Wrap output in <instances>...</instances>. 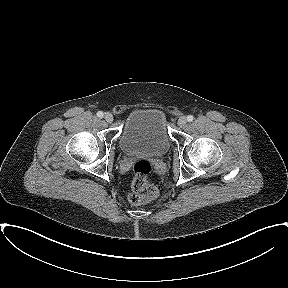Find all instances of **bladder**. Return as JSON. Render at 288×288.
<instances>
[{
	"label": "bladder",
	"instance_id": "bladder-1",
	"mask_svg": "<svg viewBox=\"0 0 288 288\" xmlns=\"http://www.w3.org/2000/svg\"><path fill=\"white\" fill-rule=\"evenodd\" d=\"M119 146L127 155H164L170 146L164 113L154 108L133 110L123 126Z\"/></svg>",
	"mask_w": 288,
	"mask_h": 288
}]
</instances>
